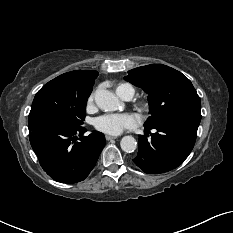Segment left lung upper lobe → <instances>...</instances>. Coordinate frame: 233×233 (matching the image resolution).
<instances>
[{
    "instance_id": "5c2ea615",
    "label": "left lung upper lobe",
    "mask_w": 233,
    "mask_h": 233,
    "mask_svg": "<svg viewBox=\"0 0 233 233\" xmlns=\"http://www.w3.org/2000/svg\"><path fill=\"white\" fill-rule=\"evenodd\" d=\"M125 80L148 93L150 116L145 126L165 118L201 119L200 98L190 80L179 71L151 64L128 71Z\"/></svg>"
}]
</instances>
